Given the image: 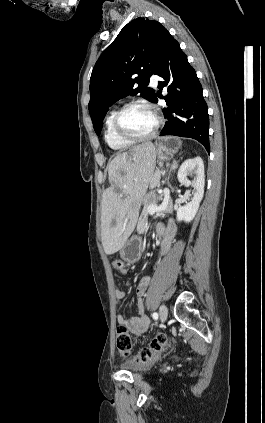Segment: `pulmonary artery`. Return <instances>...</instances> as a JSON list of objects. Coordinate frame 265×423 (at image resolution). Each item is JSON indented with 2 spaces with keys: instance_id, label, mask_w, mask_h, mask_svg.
<instances>
[{
  "instance_id": "pulmonary-artery-1",
  "label": "pulmonary artery",
  "mask_w": 265,
  "mask_h": 423,
  "mask_svg": "<svg viewBox=\"0 0 265 423\" xmlns=\"http://www.w3.org/2000/svg\"><path fill=\"white\" fill-rule=\"evenodd\" d=\"M157 83H158V78L157 77H153L152 79H151V84H152V86H157Z\"/></svg>"
}]
</instances>
